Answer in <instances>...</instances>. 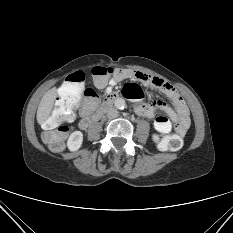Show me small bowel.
<instances>
[{"instance_id":"1","label":"small bowel","mask_w":233,"mask_h":233,"mask_svg":"<svg viewBox=\"0 0 233 233\" xmlns=\"http://www.w3.org/2000/svg\"><path fill=\"white\" fill-rule=\"evenodd\" d=\"M134 80L149 88L158 90L164 94L172 103L170 107L167 103L156 100L150 103L143 102V93L140 87L135 83L127 84L124 88V94L134 103L135 112L145 118H154V128L161 134H167L172 129L179 135H183L190 125L188 108L178 91L164 80L142 73L140 71L117 68L109 80L105 89L107 95L112 92V87L125 80ZM95 104L85 100L79 110L80 116L84 119L91 115ZM162 112L164 115H157Z\"/></svg>"}]
</instances>
